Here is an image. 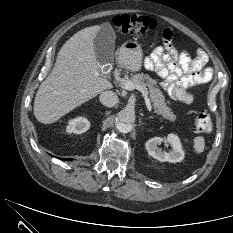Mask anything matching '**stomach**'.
I'll return each instance as SVG.
<instances>
[{"mask_svg":"<svg viewBox=\"0 0 233 233\" xmlns=\"http://www.w3.org/2000/svg\"><path fill=\"white\" fill-rule=\"evenodd\" d=\"M142 58L141 45L136 41H126L118 51L119 62L131 71H139L141 69Z\"/></svg>","mask_w":233,"mask_h":233,"instance_id":"stomach-1","label":"stomach"}]
</instances>
